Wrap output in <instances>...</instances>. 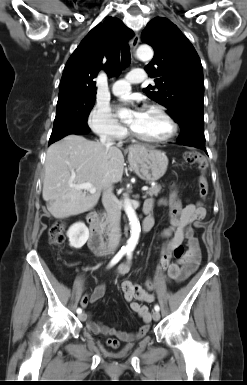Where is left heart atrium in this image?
<instances>
[{
  "label": "left heart atrium",
  "instance_id": "left-heart-atrium-1",
  "mask_svg": "<svg viewBox=\"0 0 247 385\" xmlns=\"http://www.w3.org/2000/svg\"><path fill=\"white\" fill-rule=\"evenodd\" d=\"M141 113H142V111H141V110H137V111L135 112V115L138 117V116H140V115H141Z\"/></svg>",
  "mask_w": 247,
  "mask_h": 385
}]
</instances>
